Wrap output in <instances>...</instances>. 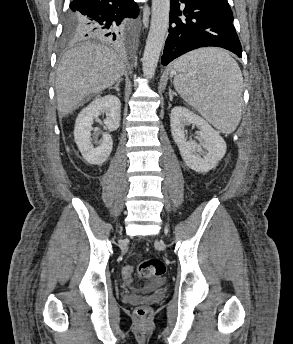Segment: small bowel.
Masks as SVG:
<instances>
[{
    "instance_id": "obj_1",
    "label": "small bowel",
    "mask_w": 293,
    "mask_h": 344,
    "mask_svg": "<svg viewBox=\"0 0 293 344\" xmlns=\"http://www.w3.org/2000/svg\"><path fill=\"white\" fill-rule=\"evenodd\" d=\"M125 280H126L127 282H130V279L125 278ZM123 297H124L125 299H127V300H131V299H132V295H131L128 291H125V292L123 293Z\"/></svg>"
}]
</instances>
